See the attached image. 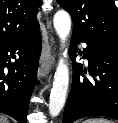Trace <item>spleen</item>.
Segmentation results:
<instances>
[{
  "label": "spleen",
  "mask_w": 118,
  "mask_h": 123,
  "mask_svg": "<svg viewBox=\"0 0 118 123\" xmlns=\"http://www.w3.org/2000/svg\"><path fill=\"white\" fill-rule=\"evenodd\" d=\"M83 123H113L105 118H90L85 120Z\"/></svg>",
  "instance_id": "spleen-1"
}]
</instances>
